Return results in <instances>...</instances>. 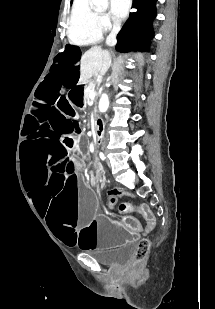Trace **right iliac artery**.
Wrapping results in <instances>:
<instances>
[{
  "mask_svg": "<svg viewBox=\"0 0 215 309\" xmlns=\"http://www.w3.org/2000/svg\"><path fill=\"white\" fill-rule=\"evenodd\" d=\"M100 158H101L102 160H105V159H106V157H105V155H104L103 153H100Z\"/></svg>",
  "mask_w": 215,
  "mask_h": 309,
  "instance_id": "82829eb1",
  "label": "right iliac artery"
}]
</instances>
